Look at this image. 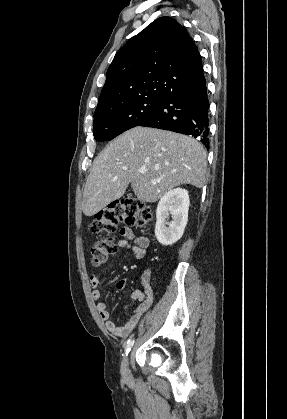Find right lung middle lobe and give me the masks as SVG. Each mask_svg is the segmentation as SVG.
Listing matches in <instances>:
<instances>
[{
    "label": "right lung middle lobe",
    "instance_id": "1",
    "mask_svg": "<svg viewBox=\"0 0 287 419\" xmlns=\"http://www.w3.org/2000/svg\"><path fill=\"white\" fill-rule=\"evenodd\" d=\"M162 98L128 101L94 114V138L110 141L124 131L139 126L161 105Z\"/></svg>",
    "mask_w": 287,
    "mask_h": 419
}]
</instances>
